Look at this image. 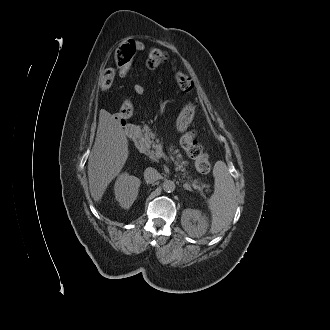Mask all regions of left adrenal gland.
I'll return each instance as SVG.
<instances>
[{
  "mask_svg": "<svg viewBox=\"0 0 330 330\" xmlns=\"http://www.w3.org/2000/svg\"><path fill=\"white\" fill-rule=\"evenodd\" d=\"M183 187H184L186 190L193 191V190L191 189V187H188L186 184H184Z\"/></svg>",
  "mask_w": 330,
  "mask_h": 330,
  "instance_id": "obj_1",
  "label": "left adrenal gland"
}]
</instances>
